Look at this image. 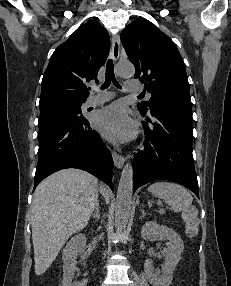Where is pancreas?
Masks as SVG:
<instances>
[{
	"mask_svg": "<svg viewBox=\"0 0 231 286\" xmlns=\"http://www.w3.org/2000/svg\"><path fill=\"white\" fill-rule=\"evenodd\" d=\"M164 212H165L164 210H161V211H160V213H164Z\"/></svg>",
	"mask_w": 231,
	"mask_h": 286,
	"instance_id": "pancreas-1",
	"label": "pancreas"
}]
</instances>
